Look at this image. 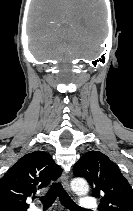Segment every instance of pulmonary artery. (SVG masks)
<instances>
[{
  "mask_svg": "<svg viewBox=\"0 0 133 211\" xmlns=\"http://www.w3.org/2000/svg\"><path fill=\"white\" fill-rule=\"evenodd\" d=\"M80 206L84 210H92L97 207V203L94 198L86 196L81 198ZM32 211H41V210L34 209Z\"/></svg>",
  "mask_w": 133,
  "mask_h": 211,
  "instance_id": "pulmonary-artery-1",
  "label": "pulmonary artery"
}]
</instances>
